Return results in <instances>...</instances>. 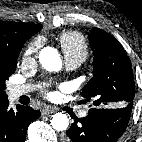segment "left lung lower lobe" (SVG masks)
Instances as JSON below:
<instances>
[{"label":"left lung lower lobe","mask_w":142,"mask_h":142,"mask_svg":"<svg viewBox=\"0 0 142 142\" xmlns=\"http://www.w3.org/2000/svg\"><path fill=\"white\" fill-rule=\"evenodd\" d=\"M131 107L92 108L82 119L76 118L64 142H116L125 131Z\"/></svg>","instance_id":"left-lung-lower-lobe-1"}]
</instances>
